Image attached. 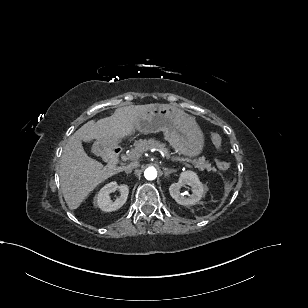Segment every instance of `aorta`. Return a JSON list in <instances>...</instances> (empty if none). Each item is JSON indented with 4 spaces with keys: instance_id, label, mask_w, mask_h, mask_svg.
<instances>
[{
    "instance_id": "aorta-1",
    "label": "aorta",
    "mask_w": 308,
    "mask_h": 308,
    "mask_svg": "<svg viewBox=\"0 0 308 308\" xmlns=\"http://www.w3.org/2000/svg\"><path fill=\"white\" fill-rule=\"evenodd\" d=\"M144 176L147 180H154L157 177V171L154 167H148L144 171Z\"/></svg>"
}]
</instances>
